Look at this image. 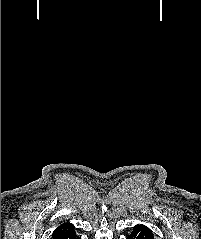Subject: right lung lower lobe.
Listing matches in <instances>:
<instances>
[{
  "label": "right lung lower lobe",
  "instance_id": "1",
  "mask_svg": "<svg viewBox=\"0 0 201 239\" xmlns=\"http://www.w3.org/2000/svg\"><path fill=\"white\" fill-rule=\"evenodd\" d=\"M74 239H80L78 236L73 237Z\"/></svg>",
  "mask_w": 201,
  "mask_h": 239
}]
</instances>
